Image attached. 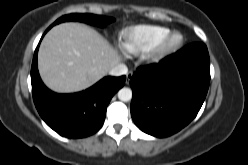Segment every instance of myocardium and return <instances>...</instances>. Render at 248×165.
Here are the masks:
<instances>
[{
    "mask_svg": "<svg viewBox=\"0 0 248 165\" xmlns=\"http://www.w3.org/2000/svg\"><path fill=\"white\" fill-rule=\"evenodd\" d=\"M182 43V34L170 31L148 51L147 59L150 63H159L176 52Z\"/></svg>",
    "mask_w": 248,
    "mask_h": 165,
    "instance_id": "obj_1",
    "label": "myocardium"
}]
</instances>
